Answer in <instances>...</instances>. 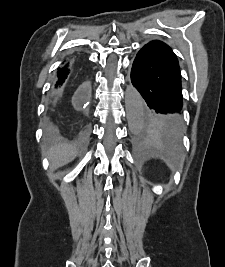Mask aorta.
<instances>
[{
  "mask_svg": "<svg viewBox=\"0 0 225 267\" xmlns=\"http://www.w3.org/2000/svg\"><path fill=\"white\" fill-rule=\"evenodd\" d=\"M125 107L129 128L133 133H136L142 127L144 101L132 86H128L125 91Z\"/></svg>",
  "mask_w": 225,
  "mask_h": 267,
  "instance_id": "obj_1",
  "label": "aorta"
}]
</instances>
